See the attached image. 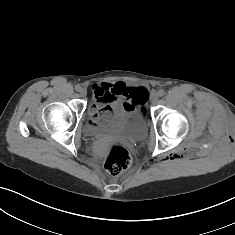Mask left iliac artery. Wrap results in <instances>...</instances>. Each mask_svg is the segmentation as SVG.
<instances>
[{
    "instance_id": "obj_1",
    "label": "left iliac artery",
    "mask_w": 235,
    "mask_h": 235,
    "mask_svg": "<svg viewBox=\"0 0 235 235\" xmlns=\"http://www.w3.org/2000/svg\"><path fill=\"white\" fill-rule=\"evenodd\" d=\"M165 94V91L163 89H160L158 91V96L162 97Z\"/></svg>"
}]
</instances>
